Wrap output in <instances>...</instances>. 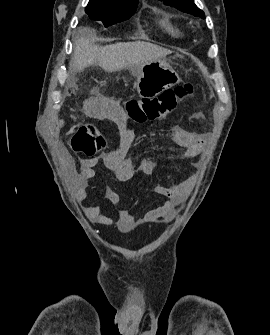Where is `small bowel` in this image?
Returning <instances> with one entry per match:
<instances>
[{
	"instance_id": "small-bowel-1",
	"label": "small bowel",
	"mask_w": 270,
	"mask_h": 335,
	"mask_svg": "<svg viewBox=\"0 0 270 335\" xmlns=\"http://www.w3.org/2000/svg\"><path fill=\"white\" fill-rule=\"evenodd\" d=\"M96 117L101 119H110L119 127L120 142L119 147L109 153H104L98 158L82 159L80 161V171L77 175L78 182V200L86 197V188L88 183L95 177V166L102 159L106 167L114 173L117 180L127 182L136 174L150 175L154 170V163L148 159H142L137 165L128 157V152L135 140V134L128 124L127 118L122 109L114 102L103 101V107L96 112ZM174 142L183 149L182 158L188 161L192 166L199 167L196 160L198 154L203 150L205 139L202 135L189 132L180 127H174ZM51 150H56V145H51ZM54 161H58L62 169H77L78 164L69 154H54ZM196 175L177 182L169 186L157 185L153 191L158 195L165 197L162 205L148 210L144 214V221L152 223L158 220H168L172 218L175 207L182 202L190 193L195 182ZM105 197L112 205L120 203V195L114 189L107 187ZM84 213L92 222L102 226L113 224V218L102 211L100 206H88L84 208ZM117 227L125 231L130 227L132 214L126 208L117 210Z\"/></svg>"
}]
</instances>
